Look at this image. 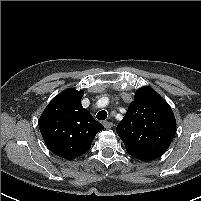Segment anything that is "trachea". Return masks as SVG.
I'll return each mask as SVG.
<instances>
[{
  "instance_id": "trachea-1",
  "label": "trachea",
  "mask_w": 201,
  "mask_h": 201,
  "mask_svg": "<svg viewBox=\"0 0 201 201\" xmlns=\"http://www.w3.org/2000/svg\"><path fill=\"white\" fill-rule=\"evenodd\" d=\"M96 117L98 120H105L107 118V112L105 110L99 111Z\"/></svg>"
}]
</instances>
